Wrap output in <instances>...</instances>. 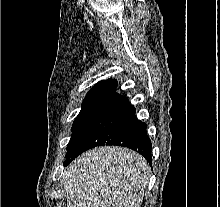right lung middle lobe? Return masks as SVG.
Wrapping results in <instances>:
<instances>
[{
    "label": "right lung middle lobe",
    "mask_w": 220,
    "mask_h": 207,
    "mask_svg": "<svg viewBox=\"0 0 220 207\" xmlns=\"http://www.w3.org/2000/svg\"><path fill=\"white\" fill-rule=\"evenodd\" d=\"M101 84L95 85L86 95L83 104H82V108L81 111L79 112L78 116L76 117L73 126H72V137L75 135V133L77 132V130L81 127L82 123L84 122L92 104L94 103L99 90H100ZM70 139V141H71ZM70 143V142H69ZM69 145V144H68ZM68 147V146H67Z\"/></svg>",
    "instance_id": "1"
}]
</instances>
